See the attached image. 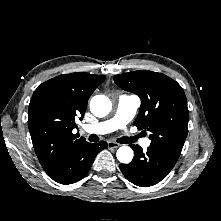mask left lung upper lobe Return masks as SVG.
I'll use <instances>...</instances> for the list:
<instances>
[{"instance_id":"obj_1","label":"left lung upper lobe","mask_w":221,"mask_h":221,"mask_svg":"<svg viewBox=\"0 0 221 221\" xmlns=\"http://www.w3.org/2000/svg\"><path fill=\"white\" fill-rule=\"evenodd\" d=\"M114 81L140 97L134 125L150 133V146L179 157L188 133L189 113L182 87L168 76L148 70L115 75Z\"/></svg>"}]
</instances>
